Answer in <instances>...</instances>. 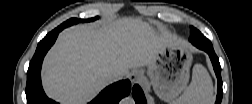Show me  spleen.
I'll list each match as a JSON object with an SVG mask.
<instances>
[{
    "instance_id": "1",
    "label": "spleen",
    "mask_w": 252,
    "mask_h": 104,
    "mask_svg": "<svg viewBox=\"0 0 252 104\" xmlns=\"http://www.w3.org/2000/svg\"><path fill=\"white\" fill-rule=\"evenodd\" d=\"M214 100L213 84L207 70L196 64L192 80L183 94L175 100L176 104H210Z\"/></svg>"
}]
</instances>
